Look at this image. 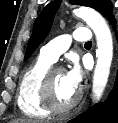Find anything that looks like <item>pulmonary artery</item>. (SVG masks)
I'll return each mask as SVG.
<instances>
[{
	"mask_svg": "<svg viewBox=\"0 0 118 123\" xmlns=\"http://www.w3.org/2000/svg\"><path fill=\"white\" fill-rule=\"evenodd\" d=\"M91 38V33L88 28H77L72 34H64L58 36L40 49V56L54 63L59 56L64 53L74 39L79 42L88 41Z\"/></svg>",
	"mask_w": 118,
	"mask_h": 123,
	"instance_id": "e3ab8cb5",
	"label": "pulmonary artery"
}]
</instances>
